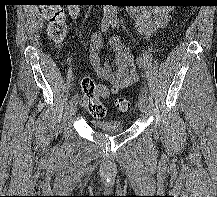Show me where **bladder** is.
I'll return each instance as SVG.
<instances>
[{
  "instance_id": "31cf9c89",
  "label": "bladder",
  "mask_w": 217,
  "mask_h": 197,
  "mask_svg": "<svg viewBox=\"0 0 217 197\" xmlns=\"http://www.w3.org/2000/svg\"><path fill=\"white\" fill-rule=\"evenodd\" d=\"M93 127L101 132L107 134H116L124 130L122 121L117 119L112 120H94L92 121Z\"/></svg>"
}]
</instances>
